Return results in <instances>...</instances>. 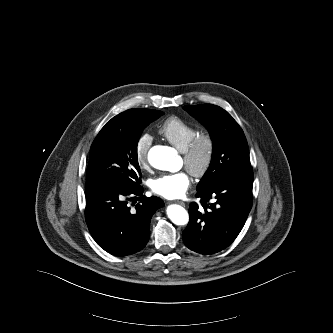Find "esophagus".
Segmentation results:
<instances>
[{
	"label": "esophagus",
	"instance_id": "34e87169",
	"mask_svg": "<svg viewBox=\"0 0 333 333\" xmlns=\"http://www.w3.org/2000/svg\"><path fill=\"white\" fill-rule=\"evenodd\" d=\"M175 203H176V204H179V205H181V206H185V203H184L183 201H179V200H177V201H175Z\"/></svg>",
	"mask_w": 333,
	"mask_h": 333
}]
</instances>
